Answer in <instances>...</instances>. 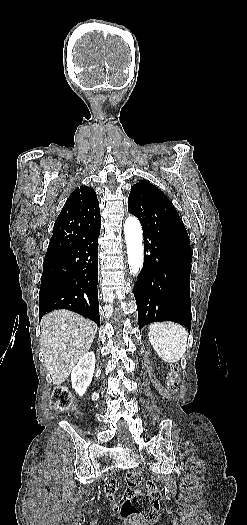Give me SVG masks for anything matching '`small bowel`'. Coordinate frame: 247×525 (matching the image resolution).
<instances>
[{
    "label": "small bowel",
    "mask_w": 247,
    "mask_h": 525,
    "mask_svg": "<svg viewBox=\"0 0 247 525\" xmlns=\"http://www.w3.org/2000/svg\"><path fill=\"white\" fill-rule=\"evenodd\" d=\"M117 486H118L117 481L114 480V479H111V480L108 481V483H107V485L105 487L106 495H107L106 500H107V502H109V505H111L110 510L113 513H116L119 510L118 505H116V504L112 505V502H114V500H115L114 495H115V492L117 490Z\"/></svg>",
    "instance_id": "obj_1"
}]
</instances>
